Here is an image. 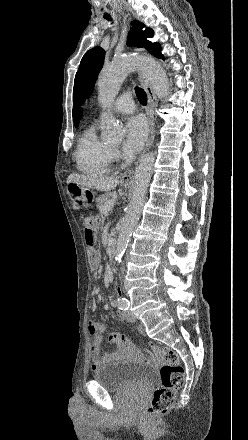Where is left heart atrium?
<instances>
[{"instance_id": "1", "label": "left heart atrium", "mask_w": 248, "mask_h": 440, "mask_svg": "<svg viewBox=\"0 0 248 440\" xmlns=\"http://www.w3.org/2000/svg\"><path fill=\"white\" fill-rule=\"evenodd\" d=\"M125 138L122 151L125 157L130 158L143 147L147 138V126L140 116L131 117L125 124Z\"/></svg>"}]
</instances>
